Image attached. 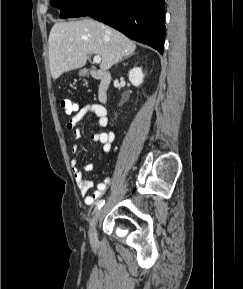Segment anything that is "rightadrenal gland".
Listing matches in <instances>:
<instances>
[{"instance_id":"1","label":"right adrenal gland","mask_w":243,"mask_h":289,"mask_svg":"<svg viewBox=\"0 0 243 289\" xmlns=\"http://www.w3.org/2000/svg\"><path fill=\"white\" fill-rule=\"evenodd\" d=\"M130 56H131V55H130ZM128 57H129V56H126V57H124V58L126 59V58H128ZM120 61H122V59H121Z\"/></svg>"}]
</instances>
